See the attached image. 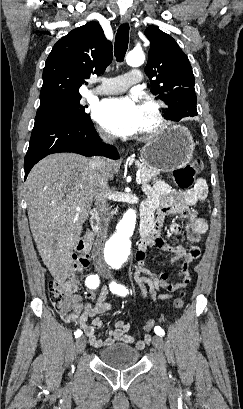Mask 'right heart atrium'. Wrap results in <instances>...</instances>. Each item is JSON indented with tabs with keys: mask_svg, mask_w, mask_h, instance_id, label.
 <instances>
[{
	"mask_svg": "<svg viewBox=\"0 0 243 409\" xmlns=\"http://www.w3.org/2000/svg\"><path fill=\"white\" fill-rule=\"evenodd\" d=\"M98 133H99V135H100V137L102 138V139H104V140H108L110 137H109V135L107 134V133H105L103 130H101V129H99L98 130Z\"/></svg>",
	"mask_w": 243,
	"mask_h": 409,
	"instance_id": "obj_1",
	"label": "right heart atrium"
}]
</instances>
